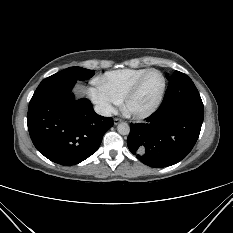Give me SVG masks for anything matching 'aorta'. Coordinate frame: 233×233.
Here are the masks:
<instances>
[{
    "mask_svg": "<svg viewBox=\"0 0 233 233\" xmlns=\"http://www.w3.org/2000/svg\"><path fill=\"white\" fill-rule=\"evenodd\" d=\"M117 130L121 135H128L130 132V127L127 123H120L117 126Z\"/></svg>",
    "mask_w": 233,
    "mask_h": 233,
    "instance_id": "762f6f07",
    "label": "aorta"
}]
</instances>
